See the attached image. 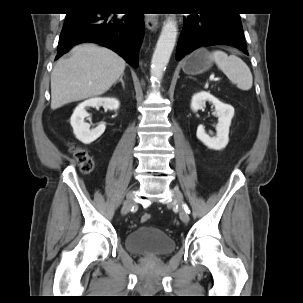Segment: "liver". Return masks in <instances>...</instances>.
Returning a JSON list of instances; mask_svg holds the SVG:
<instances>
[{
	"mask_svg": "<svg viewBox=\"0 0 303 303\" xmlns=\"http://www.w3.org/2000/svg\"><path fill=\"white\" fill-rule=\"evenodd\" d=\"M125 61L95 44L74 47L51 74V109L104 94L124 73Z\"/></svg>",
	"mask_w": 303,
	"mask_h": 303,
	"instance_id": "1",
	"label": "liver"
}]
</instances>
